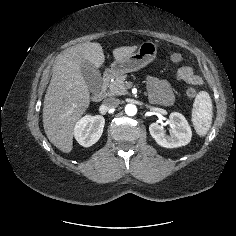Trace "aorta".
Instances as JSON below:
<instances>
[{
  "mask_svg": "<svg viewBox=\"0 0 236 236\" xmlns=\"http://www.w3.org/2000/svg\"><path fill=\"white\" fill-rule=\"evenodd\" d=\"M125 113L128 116H134L137 113V107L134 104H127L125 106Z\"/></svg>",
  "mask_w": 236,
  "mask_h": 236,
  "instance_id": "1",
  "label": "aorta"
}]
</instances>
